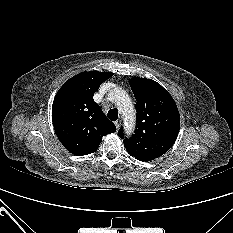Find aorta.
Here are the masks:
<instances>
[{
    "label": "aorta",
    "mask_w": 233,
    "mask_h": 233,
    "mask_svg": "<svg viewBox=\"0 0 233 233\" xmlns=\"http://www.w3.org/2000/svg\"><path fill=\"white\" fill-rule=\"evenodd\" d=\"M113 99L121 112L128 128H132L135 121V110L127 93L121 88H115Z\"/></svg>",
    "instance_id": "762f6f07"
}]
</instances>
